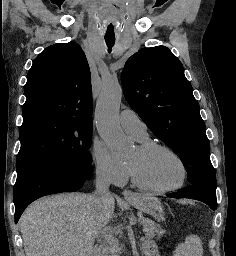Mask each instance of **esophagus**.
I'll use <instances>...</instances> for the list:
<instances>
[{
	"mask_svg": "<svg viewBox=\"0 0 236 256\" xmlns=\"http://www.w3.org/2000/svg\"><path fill=\"white\" fill-rule=\"evenodd\" d=\"M123 196L126 200H131L136 198V194L131 190H124Z\"/></svg>",
	"mask_w": 236,
	"mask_h": 256,
	"instance_id": "esophagus-1",
	"label": "esophagus"
}]
</instances>
